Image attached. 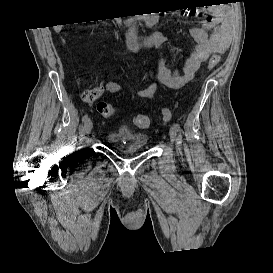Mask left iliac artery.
I'll return each mask as SVG.
<instances>
[{
    "mask_svg": "<svg viewBox=\"0 0 273 273\" xmlns=\"http://www.w3.org/2000/svg\"><path fill=\"white\" fill-rule=\"evenodd\" d=\"M174 126H175V128H176V130H177L178 132L181 130L180 125H179L178 123H176Z\"/></svg>",
    "mask_w": 273,
    "mask_h": 273,
    "instance_id": "1",
    "label": "left iliac artery"
}]
</instances>
